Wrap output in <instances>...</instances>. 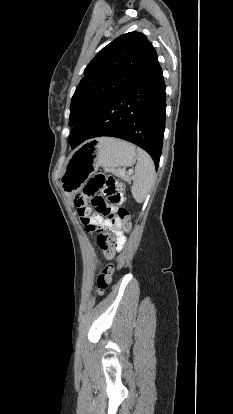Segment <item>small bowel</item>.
I'll return each mask as SVG.
<instances>
[{
    "label": "small bowel",
    "instance_id": "obj_1",
    "mask_svg": "<svg viewBox=\"0 0 233 414\" xmlns=\"http://www.w3.org/2000/svg\"><path fill=\"white\" fill-rule=\"evenodd\" d=\"M78 214L81 217L83 224L90 225V226H102L110 230L118 240L119 245H123L125 238L123 236V223L122 221L115 215V209H111L112 217L108 219H104L103 216L98 212H91V209L87 206L84 207V213L82 214L78 209ZM83 217L87 218V221H83Z\"/></svg>",
    "mask_w": 233,
    "mask_h": 414
}]
</instances>
